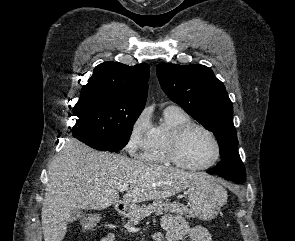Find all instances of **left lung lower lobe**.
Here are the masks:
<instances>
[{"label":"left lung lower lobe","instance_id":"obj_1","mask_svg":"<svg viewBox=\"0 0 295 241\" xmlns=\"http://www.w3.org/2000/svg\"><path fill=\"white\" fill-rule=\"evenodd\" d=\"M207 173H209V174H213V173L211 172V170H208ZM235 183H237V184H241V182H239V181H237V182H235Z\"/></svg>","mask_w":295,"mask_h":241}]
</instances>
